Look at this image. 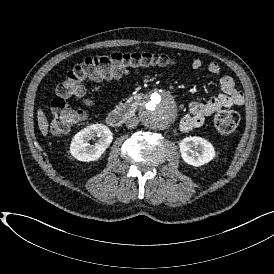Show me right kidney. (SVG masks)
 <instances>
[{
  "label": "right kidney",
  "mask_w": 274,
  "mask_h": 274,
  "mask_svg": "<svg viewBox=\"0 0 274 274\" xmlns=\"http://www.w3.org/2000/svg\"><path fill=\"white\" fill-rule=\"evenodd\" d=\"M99 137V141L90 145L89 141ZM113 140V134L110 129L103 124L89 125L76 133L70 143L71 156L82 162H93L98 160L109 147Z\"/></svg>",
  "instance_id": "1"
}]
</instances>
